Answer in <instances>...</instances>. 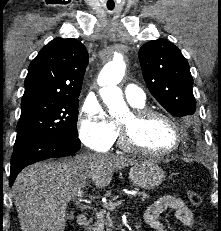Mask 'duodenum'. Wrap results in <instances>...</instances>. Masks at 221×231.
Masks as SVG:
<instances>
[{
	"label": "duodenum",
	"instance_id": "410a0bca",
	"mask_svg": "<svg viewBox=\"0 0 221 231\" xmlns=\"http://www.w3.org/2000/svg\"><path fill=\"white\" fill-rule=\"evenodd\" d=\"M88 223V217L85 214H79L77 216V224L80 226H84Z\"/></svg>",
	"mask_w": 221,
	"mask_h": 231
}]
</instances>
